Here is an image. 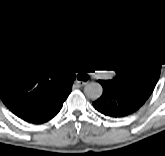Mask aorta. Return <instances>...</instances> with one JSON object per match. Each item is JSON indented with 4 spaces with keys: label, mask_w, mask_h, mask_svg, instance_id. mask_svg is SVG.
I'll list each match as a JSON object with an SVG mask.
<instances>
[{
    "label": "aorta",
    "mask_w": 165,
    "mask_h": 156,
    "mask_svg": "<svg viewBox=\"0 0 165 156\" xmlns=\"http://www.w3.org/2000/svg\"><path fill=\"white\" fill-rule=\"evenodd\" d=\"M103 92L102 86L97 82H91L85 85L84 93L90 99L96 100L98 99Z\"/></svg>",
    "instance_id": "aorta-1"
}]
</instances>
